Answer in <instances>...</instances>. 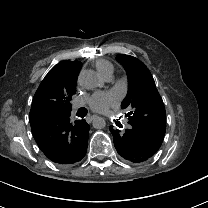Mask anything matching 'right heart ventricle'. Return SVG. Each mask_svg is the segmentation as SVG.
<instances>
[{
  "label": "right heart ventricle",
  "instance_id": "obj_1",
  "mask_svg": "<svg viewBox=\"0 0 208 208\" xmlns=\"http://www.w3.org/2000/svg\"><path fill=\"white\" fill-rule=\"evenodd\" d=\"M95 68L104 78L112 76L114 71L113 65L104 59L97 60L95 62Z\"/></svg>",
  "mask_w": 208,
  "mask_h": 208
}]
</instances>
